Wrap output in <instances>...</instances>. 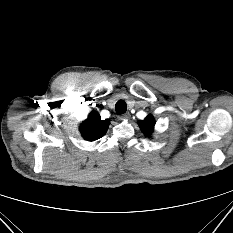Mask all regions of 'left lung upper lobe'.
I'll list each match as a JSON object with an SVG mask.
<instances>
[{"label":"left lung upper lobe","mask_w":233,"mask_h":233,"mask_svg":"<svg viewBox=\"0 0 233 233\" xmlns=\"http://www.w3.org/2000/svg\"><path fill=\"white\" fill-rule=\"evenodd\" d=\"M154 124L155 121L151 115L147 116L143 121L139 122L141 130L144 132L146 136H149L153 132Z\"/></svg>","instance_id":"left-lung-upper-lobe-1"}]
</instances>
